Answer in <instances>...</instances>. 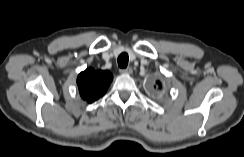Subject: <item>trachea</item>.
I'll return each instance as SVG.
<instances>
[{
    "instance_id": "3493384b",
    "label": "trachea",
    "mask_w": 244,
    "mask_h": 157,
    "mask_svg": "<svg viewBox=\"0 0 244 157\" xmlns=\"http://www.w3.org/2000/svg\"><path fill=\"white\" fill-rule=\"evenodd\" d=\"M129 57L127 53H121L118 57V65L120 68H126L128 65Z\"/></svg>"
}]
</instances>
